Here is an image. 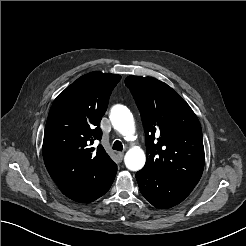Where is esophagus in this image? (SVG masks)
Masks as SVG:
<instances>
[{"label": "esophagus", "mask_w": 246, "mask_h": 246, "mask_svg": "<svg viewBox=\"0 0 246 246\" xmlns=\"http://www.w3.org/2000/svg\"><path fill=\"white\" fill-rule=\"evenodd\" d=\"M117 157L121 161L123 159V157H124V153L123 152H118L117 153Z\"/></svg>", "instance_id": "esophagus-1"}]
</instances>
